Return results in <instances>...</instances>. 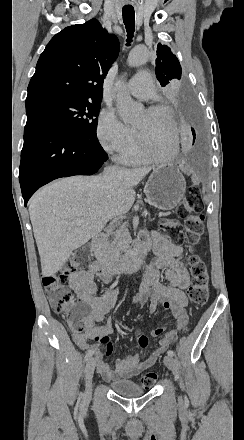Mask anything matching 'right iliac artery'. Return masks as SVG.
I'll list each match as a JSON object with an SVG mask.
<instances>
[{"instance_id": "right-iliac-artery-1", "label": "right iliac artery", "mask_w": 244, "mask_h": 440, "mask_svg": "<svg viewBox=\"0 0 244 440\" xmlns=\"http://www.w3.org/2000/svg\"><path fill=\"white\" fill-rule=\"evenodd\" d=\"M94 354V350L89 351L86 355H85V361L89 360Z\"/></svg>"}]
</instances>
